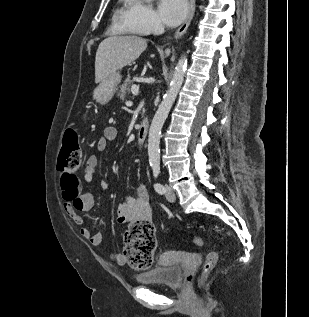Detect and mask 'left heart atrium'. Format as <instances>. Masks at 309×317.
Here are the masks:
<instances>
[{"label":"left heart atrium","mask_w":309,"mask_h":317,"mask_svg":"<svg viewBox=\"0 0 309 317\" xmlns=\"http://www.w3.org/2000/svg\"><path fill=\"white\" fill-rule=\"evenodd\" d=\"M186 0H160L159 15L167 26L178 25L187 15Z\"/></svg>","instance_id":"obj_1"}]
</instances>
